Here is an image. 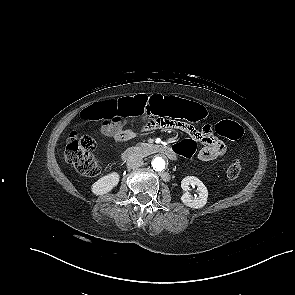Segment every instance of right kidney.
<instances>
[{
	"instance_id": "obj_1",
	"label": "right kidney",
	"mask_w": 295,
	"mask_h": 295,
	"mask_svg": "<svg viewBox=\"0 0 295 295\" xmlns=\"http://www.w3.org/2000/svg\"><path fill=\"white\" fill-rule=\"evenodd\" d=\"M120 175L117 172L109 173L98 179L91 187L95 195H104L110 192L119 183Z\"/></svg>"
}]
</instances>
